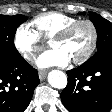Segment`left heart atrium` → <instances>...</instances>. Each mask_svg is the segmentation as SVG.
<instances>
[{
	"instance_id": "1",
	"label": "left heart atrium",
	"mask_w": 112,
	"mask_h": 112,
	"mask_svg": "<svg viewBox=\"0 0 112 112\" xmlns=\"http://www.w3.org/2000/svg\"><path fill=\"white\" fill-rule=\"evenodd\" d=\"M69 62V57L59 49L47 51L36 59V64L40 68H46L50 66H65Z\"/></svg>"
}]
</instances>
